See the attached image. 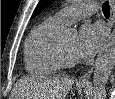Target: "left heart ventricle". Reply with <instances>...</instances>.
<instances>
[{"label":"left heart ventricle","instance_id":"left-heart-ventricle-1","mask_svg":"<svg viewBox=\"0 0 115 99\" xmlns=\"http://www.w3.org/2000/svg\"><path fill=\"white\" fill-rule=\"evenodd\" d=\"M75 43H76L75 39H70L62 43L60 47L68 56L75 58L74 56Z\"/></svg>","mask_w":115,"mask_h":99}]
</instances>
